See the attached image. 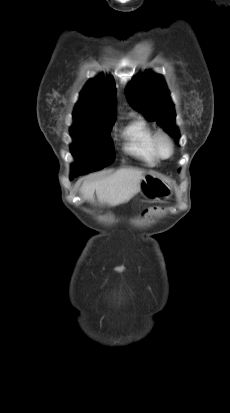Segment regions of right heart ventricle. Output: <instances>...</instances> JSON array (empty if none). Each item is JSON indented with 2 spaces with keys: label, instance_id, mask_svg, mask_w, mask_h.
<instances>
[{
  "label": "right heart ventricle",
  "instance_id": "right-heart-ventricle-1",
  "mask_svg": "<svg viewBox=\"0 0 230 413\" xmlns=\"http://www.w3.org/2000/svg\"><path fill=\"white\" fill-rule=\"evenodd\" d=\"M125 150L136 158L153 164L158 157L153 148L154 130L142 117H135L123 130Z\"/></svg>",
  "mask_w": 230,
  "mask_h": 413
}]
</instances>
